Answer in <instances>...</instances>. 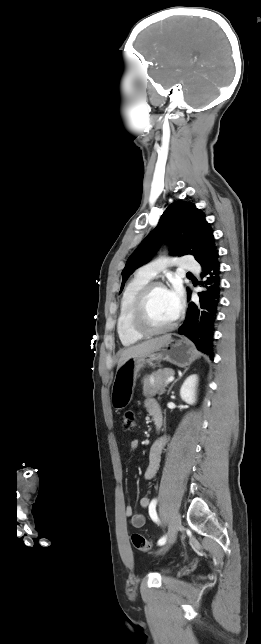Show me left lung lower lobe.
Segmentation results:
<instances>
[{
    "instance_id": "0a47b994",
    "label": "left lung lower lobe",
    "mask_w": 261,
    "mask_h": 644,
    "mask_svg": "<svg viewBox=\"0 0 261 644\" xmlns=\"http://www.w3.org/2000/svg\"><path fill=\"white\" fill-rule=\"evenodd\" d=\"M201 266L203 269L201 276L205 279L199 284L206 287V290L198 293L200 298L198 303H189L186 319L179 328V334L188 337L198 350L213 358L214 325L220 300L218 251Z\"/></svg>"
}]
</instances>
